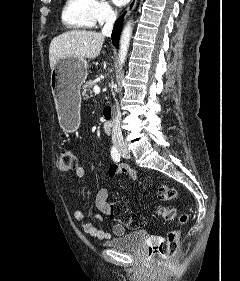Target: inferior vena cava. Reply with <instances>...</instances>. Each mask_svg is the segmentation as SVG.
Listing matches in <instances>:
<instances>
[{"mask_svg":"<svg viewBox=\"0 0 240 281\" xmlns=\"http://www.w3.org/2000/svg\"><path fill=\"white\" fill-rule=\"evenodd\" d=\"M117 13L113 10L110 11L106 23L102 28V35L110 37L113 29L114 22L116 20ZM121 112L119 107L113 109V128H112V142L114 144H123V135L120 128Z\"/></svg>","mask_w":240,"mask_h":281,"instance_id":"obj_1","label":"inferior vena cava"}]
</instances>
